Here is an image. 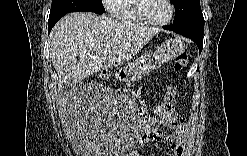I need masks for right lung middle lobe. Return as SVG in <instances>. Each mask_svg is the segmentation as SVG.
I'll return each mask as SVG.
<instances>
[{
	"label": "right lung middle lobe",
	"mask_w": 247,
	"mask_h": 156,
	"mask_svg": "<svg viewBox=\"0 0 247 156\" xmlns=\"http://www.w3.org/2000/svg\"><path fill=\"white\" fill-rule=\"evenodd\" d=\"M78 11L104 13L105 9L101 0H52L49 18Z\"/></svg>",
	"instance_id": "dd1d6c3e"
}]
</instances>
